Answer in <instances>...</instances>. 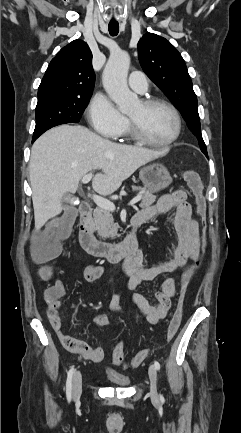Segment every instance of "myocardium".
I'll list each match as a JSON object with an SVG mask.
<instances>
[{
	"label": "myocardium",
	"instance_id": "f54148a6",
	"mask_svg": "<svg viewBox=\"0 0 241 433\" xmlns=\"http://www.w3.org/2000/svg\"><path fill=\"white\" fill-rule=\"evenodd\" d=\"M142 105L147 107V108H151V107H155V106H164L166 108H168L172 114L174 115L175 121H176V130L174 135L163 142H157V141H153L151 139H149L148 137H146L143 132L138 128V126L133 122V120L129 117L128 121H129V130H130V134L132 135V137L145 145H149V146H153V147H166L169 145H172L174 142H176L178 140V138L181 135V131H182V119H181V115L179 113V111L177 110V108L170 102L164 100V99H159V98H151V99H144L141 101Z\"/></svg>",
	"mask_w": 241,
	"mask_h": 433
}]
</instances>
